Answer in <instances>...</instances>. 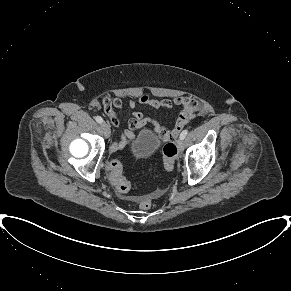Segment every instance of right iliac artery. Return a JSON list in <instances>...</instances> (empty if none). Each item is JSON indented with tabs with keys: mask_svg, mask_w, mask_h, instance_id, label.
I'll return each mask as SVG.
<instances>
[{
	"mask_svg": "<svg viewBox=\"0 0 291 291\" xmlns=\"http://www.w3.org/2000/svg\"><path fill=\"white\" fill-rule=\"evenodd\" d=\"M95 120H96L98 123H102V122H103V119H102L100 116H96V117H95Z\"/></svg>",
	"mask_w": 291,
	"mask_h": 291,
	"instance_id": "1",
	"label": "right iliac artery"
}]
</instances>
